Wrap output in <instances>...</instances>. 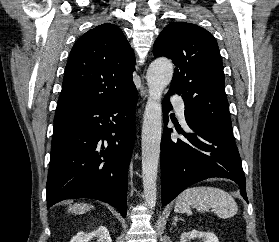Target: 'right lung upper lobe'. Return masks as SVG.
<instances>
[{
  "mask_svg": "<svg viewBox=\"0 0 279 242\" xmlns=\"http://www.w3.org/2000/svg\"><path fill=\"white\" fill-rule=\"evenodd\" d=\"M134 51L120 28L104 23L74 44L55 115L117 102L136 90Z\"/></svg>",
  "mask_w": 279,
  "mask_h": 242,
  "instance_id": "cb5924a9",
  "label": "right lung upper lobe"
}]
</instances>
